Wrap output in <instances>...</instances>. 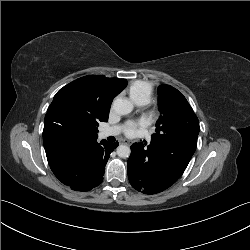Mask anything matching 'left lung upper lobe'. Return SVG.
Masks as SVG:
<instances>
[{
    "label": "left lung upper lobe",
    "instance_id": "obj_1",
    "mask_svg": "<svg viewBox=\"0 0 250 250\" xmlns=\"http://www.w3.org/2000/svg\"><path fill=\"white\" fill-rule=\"evenodd\" d=\"M159 110L162 113L156 123L152 141L177 139L190 135L198 137L199 121L186 98L170 85L159 87Z\"/></svg>",
    "mask_w": 250,
    "mask_h": 250
}]
</instances>
